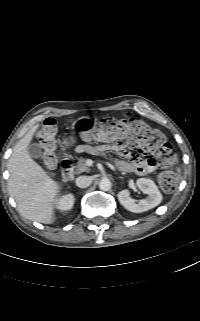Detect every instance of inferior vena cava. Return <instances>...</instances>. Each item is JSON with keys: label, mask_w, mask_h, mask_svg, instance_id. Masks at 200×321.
Returning <instances> with one entry per match:
<instances>
[{"label": "inferior vena cava", "mask_w": 200, "mask_h": 321, "mask_svg": "<svg viewBox=\"0 0 200 321\" xmlns=\"http://www.w3.org/2000/svg\"><path fill=\"white\" fill-rule=\"evenodd\" d=\"M91 182L92 179L89 176H79L76 178V185L80 188H87Z\"/></svg>", "instance_id": "inferior-vena-cava-1"}]
</instances>
